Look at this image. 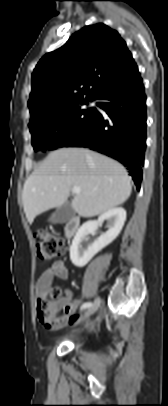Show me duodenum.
<instances>
[{
  "mask_svg": "<svg viewBox=\"0 0 168 406\" xmlns=\"http://www.w3.org/2000/svg\"><path fill=\"white\" fill-rule=\"evenodd\" d=\"M81 219L79 216H72L65 226V237L70 239L77 232Z\"/></svg>",
  "mask_w": 168,
  "mask_h": 406,
  "instance_id": "410a0bca",
  "label": "duodenum"
}]
</instances>
